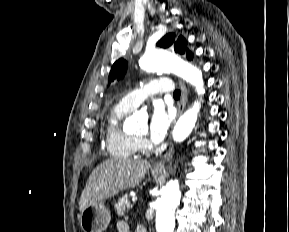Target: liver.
Returning <instances> with one entry per match:
<instances>
[{
	"label": "liver",
	"mask_w": 289,
	"mask_h": 232,
	"mask_svg": "<svg viewBox=\"0 0 289 232\" xmlns=\"http://www.w3.org/2000/svg\"><path fill=\"white\" fill-rule=\"evenodd\" d=\"M150 163L138 159H108L98 165L82 191L79 210L139 185Z\"/></svg>",
	"instance_id": "1"
}]
</instances>
